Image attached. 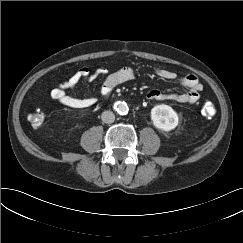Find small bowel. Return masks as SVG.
Returning <instances> with one entry per match:
<instances>
[{"instance_id":"c3829d8e","label":"small bowel","mask_w":243,"mask_h":243,"mask_svg":"<svg viewBox=\"0 0 243 243\" xmlns=\"http://www.w3.org/2000/svg\"><path fill=\"white\" fill-rule=\"evenodd\" d=\"M156 74L165 80H174L177 74L168 69H158ZM102 76L103 82L100 88V94L103 98H108L112 90L118 85L130 81L134 78V70L130 67H123L112 72H108L105 68L99 67L93 71L88 68H81L75 72L69 79L59 84L50 92L53 100L61 104L74 108L84 109L93 106L96 98H81L68 93V90L76 88L82 80L93 81L97 77ZM181 84L187 89L184 93H166L158 89H153L148 92L147 98L151 101H166L173 100L180 104H193L200 98V92L203 89L198 78L193 74H186L180 77Z\"/></svg>"}]
</instances>
